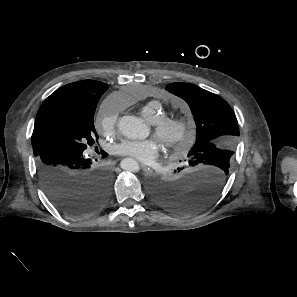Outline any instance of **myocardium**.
Returning <instances> with one entry per match:
<instances>
[{"label":"myocardium","mask_w":297,"mask_h":297,"mask_svg":"<svg viewBox=\"0 0 297 297\" xmlns=\"http://www.w3.org/2000/svg\"><path fill=\"white\" fill-rule=\"evenodd\" d=\"M153 134L170 150L185 149L192 137L189 123L180 117L163 116L152 123Z\"/></svg>","instance_id":"f54148a6"}]
</instances>
